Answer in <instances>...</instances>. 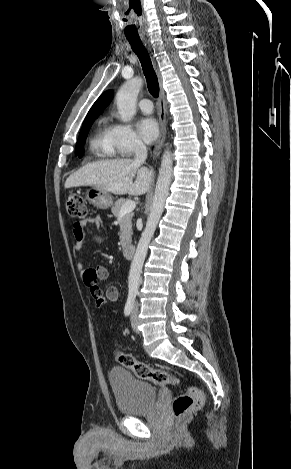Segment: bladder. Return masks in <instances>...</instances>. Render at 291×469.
<instances>
[{
  "label": "bladder",
  "mask_w": 291,
  "mask_h": 469,
  "mask_svg": "<svg viewBox=\"0 0 291 469\" xmlns=\"http://www.w3.org/2000/svg\"><path fill=\"white\" fill-rule=\"evenodd\" d=\"M109 380L118 412L127 417L149 412L156 401V389L149 383L135 377L124 368L115 367L109 372Z\"/></svg>",
  "instance_id": "obj_1"
}]
</instances>
